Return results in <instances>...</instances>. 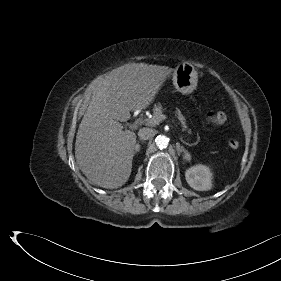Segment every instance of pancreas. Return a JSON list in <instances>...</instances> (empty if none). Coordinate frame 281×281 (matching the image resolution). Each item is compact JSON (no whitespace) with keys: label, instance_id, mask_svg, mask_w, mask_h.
<instances>
[{"label":"pancreas","instance_id":"obj_1","mask_svg":"<svg viewBox=\"0 0 281 281\" xmlns=\"http://www.w3.org/2000/svg\"><path fill=\"white\" fill-rule=\"evenodd\" d=\"M163 112V107L161 104H157L154 106L153 108V118L151 120H159L160 116L162 115ZM177 114V118L180 120L181 122V126H182V130L185 131L188 129L187 125H186V119L185 117L181 114L180 111L176 112ZM188 132H190V130H188Z\"/></svg>","mask_w":281,"mask_h":281}]
</instances>
